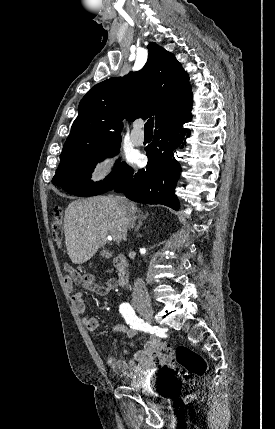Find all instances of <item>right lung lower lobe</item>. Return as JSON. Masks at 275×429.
Returning a JSON list of instances; mask_svg holds the SVG:
<instances>
[{
  "mask_svg": "<svg viewBox=\"0 0 275 429\" xmlns=\"http://www.w3.org/2000/svg\"><path fill=\"white\" fill-rule=\"evenodd\" d=\"M190 120L191 115L156 128L152 143L145 149L148 156L146 169L136 173L131 169L125 180L114 189L135 202L179 209L174 192L181 168L174 157V150L185 145L183 139L190 135V130L182 128V125Z\"/></svg>",
  "mask_w": 275,
  "mask_h": 429,
  "instance_id": "right-lung-lower-lobe-1",
  "label": "right lung lower lobe"
}]
</instances>
